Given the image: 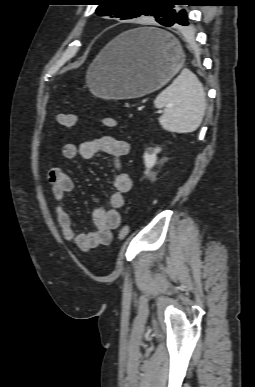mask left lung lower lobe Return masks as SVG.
<instances>
[{
    "instance_id": "1",
    "label": "left lung lower lobe",
    "mask_w": 255,
    "mask_h": 387,
    "mask_svg": "<svg viewBox=\"0 0 255 387\" xmlns=\"http://www.w3.org/2000/svg\"><path fill=\"white\" fill-rule=\"evenodd\" d=\"M163 25L166 27H178L179 25H188V18L186 12L184 10L176 11L175 17ZM142 36L151 40H156L158 38V35L155 32H145L142 34Z\"/></svg>"
}]
</instances>
